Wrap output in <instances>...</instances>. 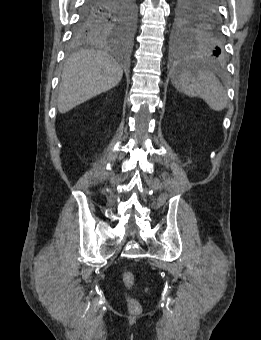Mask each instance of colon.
<instances>
[{
  "instance_id": "colon-1",
  "label": "colon",
  "mask_w": 261,
  "mask_h": 340,
  "mask_svg": "<svg viewBox=\"0 0 261 340\" xmlns=\"http://www.w3.org/2000/svg\"><path fill=\"white\" fill-rule=\"evenodd\" d=\"M122 280L127 291H130L135 283L134 274L131 271H125L122 275ZM127 305L132 313H138L141 310L140 302L130 295L127 296Z\"/></svg>"
}]
</instances>
